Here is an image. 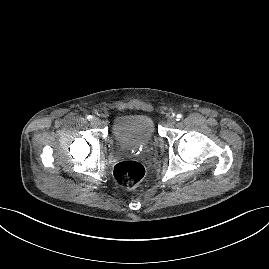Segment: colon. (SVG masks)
I'll list each match as a JSON object with an SVG mask.
<instances>
[{
	"label": "colon",
	"mask_w": 269,
	"mask_h": 269,
	"mask_svg": "<svg viewBox=\"0 0 269 269\" xmlns=\"http://www.w3.org/2000/svg\"><path fill=\"white\" fill-rule=\"evenodd\" d=\"M145 173L144 166L133 160L117 163L113 172L115 181L125 188L137 186L144 179Z\"/></svg>",
	"instance_id": "5ec220e1"
}]
</instances>
